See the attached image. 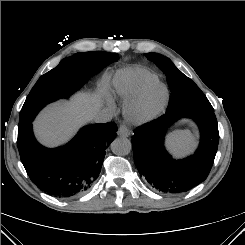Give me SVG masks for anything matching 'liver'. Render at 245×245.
<instances>
[{
  "label": "liver",
  "instance_id": "obj_1",
  "mask_svg": "<svg viewBox=\"0 0 245 245\" xmlns=\"http://www.w3.org/2000/svg\"><path fill=\"white\" fill-rule=\"evenodd\" d=\"M109 80V76H103L97 94L80 93L70 102L60 101L44 109L34 122L37 138L49 147L67 141L100 112L101 96L107 92Z\"/></svg>",
  "mask_w": 245,
  "mask_h": 245
}]
</instances>
